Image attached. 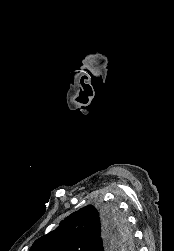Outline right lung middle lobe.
<instances>
[{"instance_id":"1","label":"right lung middle lobe","mask_w":174,"mask_h":251,"mask_svg":"<svg viewBox=\"0 0 174 251\" xmlns=\"http://www.w3.org/2000/svg\"><path fill=\"white\" fill-rule=\"evenodd\" d=\"M100 211L110 223L117 226L118 232L123 237L124 240L121 245V250H130L133 247L131 233L128 229L126 219L120 213L119 209L114 205H104L101 207Z\"/></svg>"}]
</instances>
